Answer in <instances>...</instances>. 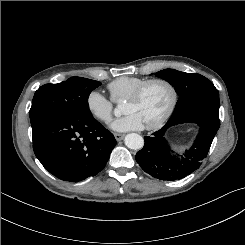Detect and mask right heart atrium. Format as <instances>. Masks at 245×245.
I'll use <instances>...</instances> for the list:
<instances>
[{
    "label": "right heart atrium",
    "mask_w": 245,
    "mask_h": 245,
    "mask_svg": "<svg viewBox=\"0 0 245 245\" xmlns=\"http://www.w3.org/2000/svg\"><path fill=\"white\" fill-rule=\"evenodd\" d=\"M89 113L98 121L108 123L113 115V102L99 90H92L86 97Z\"/></svg>",
    "instance_id": "obj_1"
}]
</instances>
